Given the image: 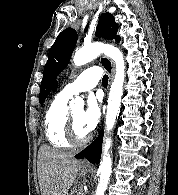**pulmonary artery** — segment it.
<instances>
[{
  "label": "pulmonary artery",
  "mask_w": 178,
  "mask_h": 195,
  "mask_svg": "<svg viewBox=\"0 0 178 195\" xmlns=\"http://www.w3.org/2000/svg\"><path fill=\"white\" fill-rule=\"evenodd\" d=\"M102 71L99 67L93 66L84 70L75 80L68 83L61 93L69 98L94 88L101 78Z\"/></svg>",
  "instance_id": "e3ab8cb5"
}]
</instances>
